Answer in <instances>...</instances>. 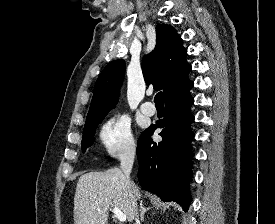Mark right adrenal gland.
<instances>
[{
    "label": "right adrenal gland",
    "instance_id": "1",
    "mask_svg": "<svg viewBox=\"0 0 275 224\" xmlns=\"http://www.w3.org/2000/svg\"><path fill=\"white\" fill-rule=\"evenodd\" d=\"M150 208H145L143 205V202H140V221L138 220V224H140V222L144 221V214L149 211Z\"/></svg>",
    "mask_w": 275,
    "mask_h": 224
}]
</instances>
